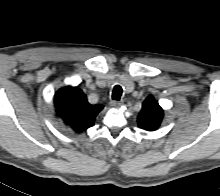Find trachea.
<instances>
[{
	"instance_id": "obj_1",
	"label": "trachea",
	"mask_w": 220,
	"mask_h": 196,
	"mask_svg": "<svg viewBox=\"0 0 220 196\" xmlns=\"http://www.w3.org/2000/svg\"><path fill=\"white\" fill-rule=\"evenodd\" d=\"M122 93H123V89L121 86L119 85H116L114 88H113V92H112V99L113 100H116V101H119L121 96H122Z\"/></svg>"
}]
</instances>
